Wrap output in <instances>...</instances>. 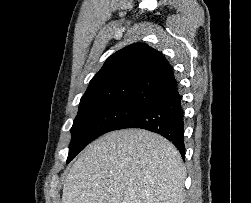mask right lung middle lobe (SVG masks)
Here are the masks:
<instances>
[{
    "mask_svg": "<svg viewBox=\"0 0 251 203\" xmlns=\"http://www.w3.org/2000/svg\"><path fill=\"white\" fill-rule=\"evenodd\" d=\"M141 108L127 104L80 105L71 128L69 163L87 144L100 135L113 131L123 120Z\"/></svg>",
    "mask_w": 251,
    "mask_h": 203,
    "instance_id": "right-lung-middle-lobe-1",
    "label": "right lung middle lobe"
}]
</instances>
